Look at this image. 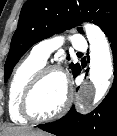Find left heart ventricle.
Here are the masks:
<instances>
[{"instance_id": "left-heart-ventricle-1", "label": "left heart ventricle", "mask_w": 117, "mask_h": 136, "mask_svg": "<svg viewBox=\"0 0 117 136\" xmlns=\"http://www.w3.org/2000/svg\"><path fill=\"white\" fill-rule=\"evenodd\" d=\"M66 93L65 79L61 74L46 76L36 87L30 100V110L38 117L54 114L63 104Z\"/></svg>"}]
</instances>
